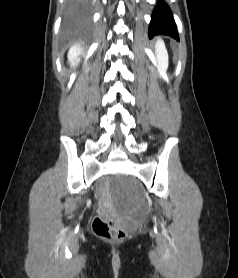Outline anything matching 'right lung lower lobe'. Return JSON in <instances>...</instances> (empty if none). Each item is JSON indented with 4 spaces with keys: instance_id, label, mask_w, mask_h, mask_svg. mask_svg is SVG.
<instances>
[{
    "instance_id": "98d812e1",
    "label": "right lung lower lobe",
    "mask_w": 238,
    "mask_h": 278,
    "mask_svg": "<svg viewBox=\"0 0 238 278\" xmlns=\"http://www.w3.org/2000/svg\"><path fill=\"white\" fill-rule=\"evenodd\" d=\"M89 0H71L67 16V24L79 27L89 20Z\"/></svg>"
}]
</instances>
